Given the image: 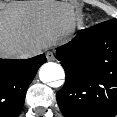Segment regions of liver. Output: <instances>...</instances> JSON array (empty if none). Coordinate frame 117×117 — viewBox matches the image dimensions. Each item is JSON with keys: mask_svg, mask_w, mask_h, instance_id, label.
<instances>
[{"mask_svg": "<svg viewBox=\"0 0 117 117\" xmlns=\"http://www.w3.org/2000/svg\"><path fill=\"white\" fill-rule=\"evenodd\" d=\"M0 56L20 58L29 48L55 45L73 30L75 14L62 3L20 2L0 8Z\"/></svg>", "mask_w": 117, "mask_h": 117, "instance_id": "obj_1", "label": "liver"}]
</instances>
